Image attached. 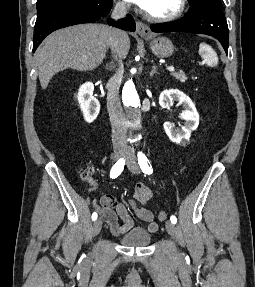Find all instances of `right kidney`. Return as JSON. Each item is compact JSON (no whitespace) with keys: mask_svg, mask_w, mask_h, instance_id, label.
I'll list each match as a JSON object with an SVG mask.
<instances>
[{"mask_svg":"<svg viewBox=\"0 0 255 287\" xmlns=\"http://www.w3.org/2000/svg\"><path fill=\"white\" fill-rule=\"evenodd\" d=\"M94 86L92 82H86L83 86H80L77 94L80 108L84 114V118L88 124L96 120L100 112V102L93 96Z\"/></svg>","mask_w":255,"mask_h":287,"instance_id":"obj_1","label":"right kidney"}]
</instances>
